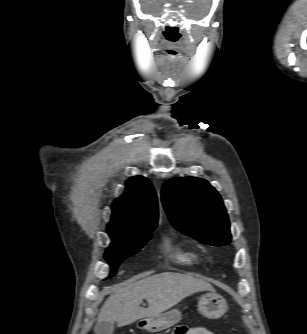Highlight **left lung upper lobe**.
Listing matches in <instances>:
<instances>
[{"instance_id": "left-lung-upper-lobe-1", "label": "left lung upper lobe", "mask_w": 307, "mask_h": 334, "mask_svg": "<svg viewBox=\"0 0 307 334\" xmlns=\"http://www.w3.org/2000/svg\"><path fill=\"white\" fill-rule=\"evenodd\" d=\"M162 203L172 225L182 233L213 246L230 242V224L223 201L206 180L170 179L162 188Z\"/></svg>"}]
</instances>
